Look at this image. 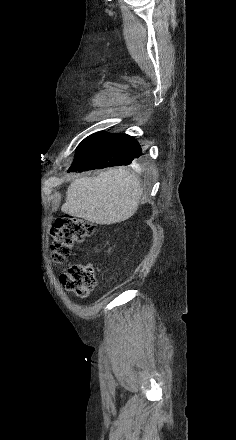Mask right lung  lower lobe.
I'll use <instances>...</instances> for the list:
<instances>
[{"label":"right lung lower lobe","instance_id":"right-lung-lower-lobe-1","mask_svg":"<svg viewBox=\"0 0 236 440\" xmlns=\"http://www.w3.org/2000/svg\"><path fill=\"white\" fill-rule=\"evenodd\" d=\"M69 172L128 165L142 156L136 139L124 134L98 132L84 139L76 151Z\"/></svg>","mask_w":236,"mask_h":440}]
</instances>
